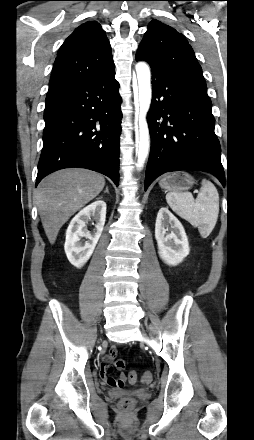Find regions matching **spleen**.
Listing matches in <instances>:
<instances>
[{"label": "spleen", "instance_id": "obj_1", "mask_svg": "<svg viewBox=\"0 0 254 440\" xmlns=\"http://www.w3.org/2000/svg\"><path fill=\"white\" fill-rule=\"evenodd\" d=\"M201 184L196 199L189 192H170L166 195V201L177 215L198 227L202 238H207L218 219L219 194L211 181L203 179Z\"/></svg>", "mask_w": 254, "mask_h": 440}]
</instances>
